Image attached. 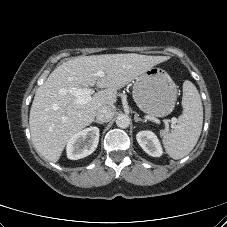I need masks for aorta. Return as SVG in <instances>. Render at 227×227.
Here are the masks:
<instances>
[{"label": "aorta", "mask_w": 227, "mask_h": 227, "mask_svg": "<svg viewBox=\"0 0 227 227\" xmlns=\"http://www.w3.org/2000/svg\"><path fill=\"white\" fill-rule=\"evenodd\" d=\"M130 117L126 114H120L116 118V125L120 128H127L130 125Z\"/></svg>", "instance_id": "762f6f07"}]
</instances>
